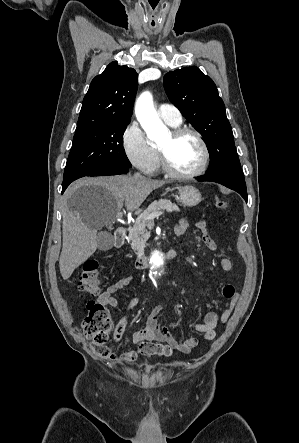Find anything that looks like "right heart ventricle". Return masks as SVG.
Instances as JSON below:
<instances>
[{"label": "right heart ventricle", "instance_id": "right-heart-ventricle-1", "mask_svg": "<svg viewBox=\"0 0 299 443\" xmlns=\"http://www.w3.org/2000/svg\"><path fill=\"white\" fill-rule=\"evenodd\" d=\"M169 124V123H168ZM170 126H172V127H177V126H179V125H172V124H169ZM154 149V151H155V155H156V164H155V168L154 169H156V168H158L159 167V164H160V162H159V154H158V149H156V148H153Z\"/></svg>", "mask_w": 299, "mask_h": 443}]
</instances>
